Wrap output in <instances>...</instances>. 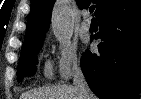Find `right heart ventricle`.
Instances as JSON below:
<instances>
[{
  "label": "right heart ventricle",
  "mask_w": 141,
  "mask_h": 99,
  "mask_svg": "<svg viewBox=\"0 0 141 99\" xmlns=\"http://www.w3.org/2000/svg\"><path fill=\"white\" fill-rule=\"evenodd\" d=\"M44 72H45V75H46L47 77H49V76L51 75V67H50V64H49V63H47V64L45 65Z\"/></svg>",
  "instance_id": "obj_1"
}]
</instances>
